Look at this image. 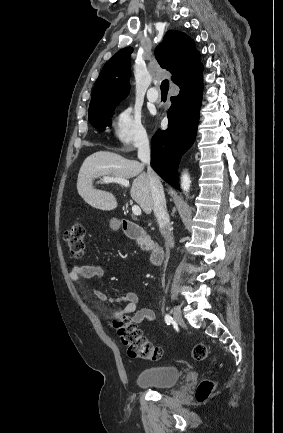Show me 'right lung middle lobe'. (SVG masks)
I'll return each instance as SVG.
<instances>
[{
	"mask_svg": "<svg viewBox=\"0 0 283 433\" xmlns=\"http://www.w3.org/2000/svg\"><path fill=\"white\" fill-rule=\"evenodd\" d=\"M115 106H108L89 113L90 123L97 129L104 130L107 126H111L113 112Z\"/></svg>",
	"mask_w": 283,
	"mask_h": 433,
	"instance_id": "obj_1",
	"label": "right lung middle lobe"
}]
</instances>
